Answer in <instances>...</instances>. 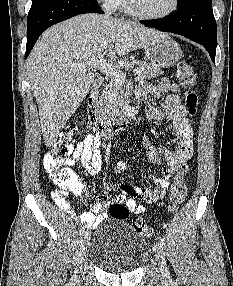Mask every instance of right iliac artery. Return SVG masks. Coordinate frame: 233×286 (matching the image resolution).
I'll return each instance as SVG.
<instances>
[{"label":"right iliac artery","instance_id":"82829eb1","mask_svg":"<svg viewBox=\"0 0 233 286\" xmlns=\"http://www.w3.org/2000/svg\"><path fill=\"white\" fill-rule=\"evenodd\" d=\"M84 231H85V226H81L80 229H79L78 235H79V236H82V234L84 233Z\"/></svg>","mask_w":233,"mask_h":286}]
</instances>
